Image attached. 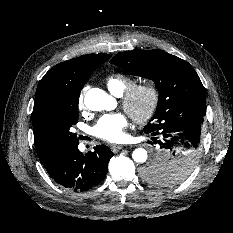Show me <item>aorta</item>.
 <instances>
[{
  "label": "aorta",
  "mask_w": 233,
  "mask_h": 233,
  "mask_svg": "<svg viewBox=\"0 0 233 233\" xmlns=\"http://www.w3.org/2000/svg\"><path fill=\"white\" fill-rule=\"evenodd\" d=\"M85 106L92 111L113 110L116 107V101L109 96L105 91L99 88H92L87 91L84 98ZM161 160L166 161L167 152L159 153ZM132 158L135 162L144 163L147 160V151L143 148H137L133 151Z\"/></svg>",
  "instance_id": "1"
}]
</instances>
